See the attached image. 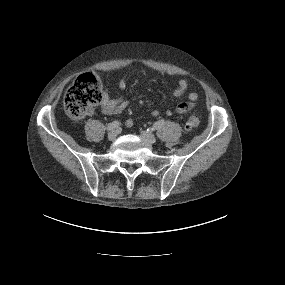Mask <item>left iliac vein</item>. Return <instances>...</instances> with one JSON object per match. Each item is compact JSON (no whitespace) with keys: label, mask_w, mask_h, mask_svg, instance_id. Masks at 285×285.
Masks as SVG:
<instances>
[{"label":"left iliac vein","mask_w":285,"mask_h":285,"mask_svg":"<svg viewBox=\"0 0 285 285\" xmlns=\"http://www.w3.org/2000/svg\"><path fill=\"white\" fill-rule=\"evenodd\" d=\"M141 136L150 143H154L156 141V137L150 132L142 131Z\"/></svg>","instance_id":"obj_1"}]
</instances>
